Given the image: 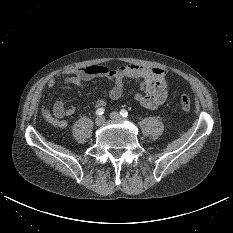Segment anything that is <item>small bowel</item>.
<instances>
[{
  "instance_id": "obj_1",
  "label": "small bowel",
  "mask_w": 233,
  "mask_h": 233,
  "mask_svg": "<svg viewBox=\"0 0 233 233\" xmlns=\"http://www.w3.org/2000/svg\"><path fill=\"white\" fill-rule=\"evenodd\" d=\"M95 78H106L110 81L111 87L108 96L112 100L121 98L126 80L139 83L141 91L135 93L134 97L140 105L149 110L161 106L166 101L169 92V80L167 71L164 68H148L138 65H123L115 69L106 65H89L75 68L66 71L61 81L59 75L51 78L48 86L54 88L61 82L64 86L74 85L83 88L86 81ZM106 105L107 102L103 98H99L95 103L98 109L104 108ZM74 113L75 108L65 106L61 98L57 99L52 105L43 104L41 106L42 118L50 125L60 129H64L68 125L64 117Z\"/></svg>"
}]
</instances>
